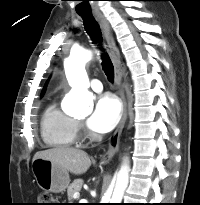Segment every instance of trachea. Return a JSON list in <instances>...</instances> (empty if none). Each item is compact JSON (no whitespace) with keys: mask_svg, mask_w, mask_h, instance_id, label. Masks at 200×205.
I'll return each mask as SVG.
<instances>
[{"mask_svg":"<svg viewBox=\"0 0 200 205\" xmlns=\"http://www.w3.org/2000/svg\"><path fill=\"white\" fill-rule=\"evenodd\" d=\"M79 15L83 19L84 27L88 35L91 37L93 42L95 44H100L102 41V34L99 27V24L93 17L92 13H79ZM102 66L103 70L105 72V75L107 76L108 80L110 82H113L114 80V67L113 64L107 54H103L102 57Z\"/></svg>","mask_w":200,"mask_h":205,"instance_id":"1","label":"trachea"}]
</instances>
